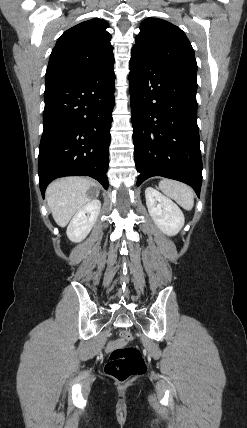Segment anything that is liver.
Listing matches in <instances>:
<instances>
[{
  "mask_svg": "<svg viewBox=\"0 0 247 428\" xmlns=\"http://www.w3.org/2000/svg\"><path fill=\"white\" fill-rule=\"evenodd\" d=\"M91 187L97 188L98 185L86 177L61 178L48 186L47 203L55 222L60 227H65L73 215L91 201V197L87 195Z\"/></svg>",
  "mask_w": 247,
  "mask_h": 428,
  "instance_id": "1",
  "label": "liver"
}]
</instances>
